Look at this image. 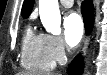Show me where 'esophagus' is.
Segmentation results:
<instances>
[{"label": "esophagus", "mask_w": 107, "mask_h": 75, "mask_svg": "<svg viewBox=\"0 0 107 75\" xmlns=\"http://www.w3.org/2000/svg\"><path fill=\"white\" fill-rule=\"evenodd\" d=\"M90 39H91V35H88V36L86 37L85 41H84V46H83V48H82V54H85Z\"/></svg>", "instance_id": "34e87169"}]
</instances>
